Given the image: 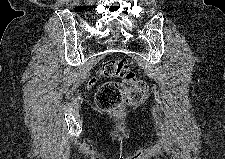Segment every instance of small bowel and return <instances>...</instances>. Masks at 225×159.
I'll list each match as a JSON object with an SVG mask.
<instances>
[{
	"instance_id": "obj_1",
	"label": "small bowel",
	"mask_w": 225,
	"mask_h": 159,
	"mask_svg": "<svg viewBox=\"0 0 225 159\" xmlns=\"http://www.w3.org/2000/svg\"><path fill=\"white\" fill-rule=\"evenodd\" d=\"M94 83H95V80L92 79V80H90L89 85H93Z\"/></svg>"
}]
</instances>
